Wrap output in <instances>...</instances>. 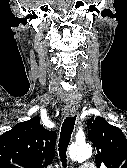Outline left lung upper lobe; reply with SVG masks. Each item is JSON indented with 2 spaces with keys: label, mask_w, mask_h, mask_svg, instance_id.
Segmentation results:
<instances>
[{
  "label": "left lung upper lobe",
  "mask_w": 127,
  "mask_h": 168,
  "mask_svg": "<svg viewBox=\"0 0 127 168\" xmlns=\"http://www.w3.org/2000/svg\"><path fill=\"white\" fill-rule=\"evenodd\" d=\"M87 128L98 168H127V139L121 129L108 124L102 117H91Z\"/></svg>",
  "instance_id": "obj_1"
}]
</instances>
